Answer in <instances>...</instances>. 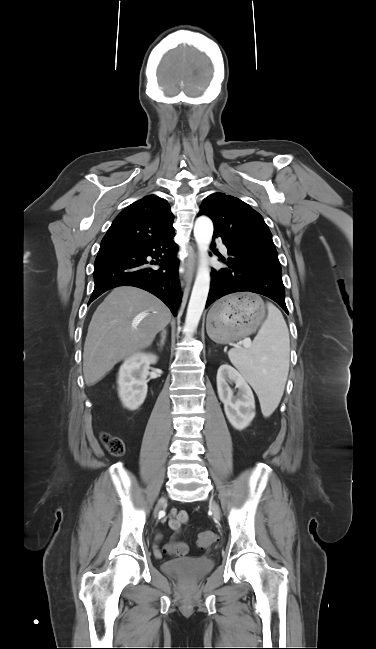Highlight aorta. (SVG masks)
<instances>
[{
  "mask_svg": "<svg viewBox=\"0 0 376 649\" xmlns=\"http://www.w3.org/2000/svg\"><path fill=\"white\" fill-rule=\"evenodd\" d=\"M212 235L213 223L211 219L206 216L198 217L194 225V237L200 253V263L185 319V327L189 335H192L196 330L208 297L210 269L207 257Z\"/></svg>",
  "mask_w": 376,
  "mask_h": 649,
  "instance_id": "obj_1",
  "label": "aorta"
}]
</instances>
